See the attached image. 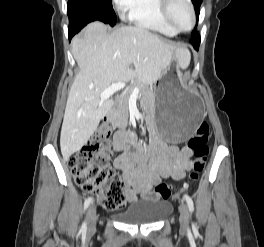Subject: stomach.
<instances>
[{"label":"stomach","mask_w":264,"mask_h":247,"mask_svg":"<svg viewBox=\"0 0 264 247\" xmlns=\"http://www.w3.org/2000/svg\"><path fill=\"white\" fill-rule=\"evenodd\" d=\"M180 68L182 63H170L153 91L157 131L165 141H189L204 118L199 95L179 82Z\"/></svg>","instance_id":"0dacf381"}]
</instances>
